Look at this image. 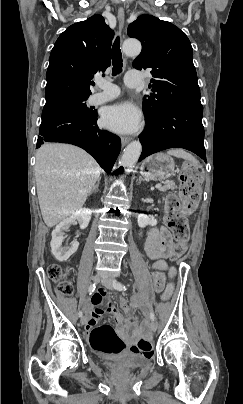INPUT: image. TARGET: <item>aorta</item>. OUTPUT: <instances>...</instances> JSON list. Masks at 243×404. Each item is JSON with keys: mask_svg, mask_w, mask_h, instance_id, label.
Segmentation results:
<instances>
[{"mask_svg": "<svg viewBox=\"0 0 243 404\" xmlns=\"http://www.w3.org/2000/svg\"><path fill=\"white\" fill-rule=\"evenodd\" d=\"M122 52H124L126 56H131V58L132 56H138L141 52V44L138 40H125L122 44ZM141 152L142 146L140 142H131V144H128L120 162L118 163V168L122 172L134 168L136 162H138L140 158ZM121 179L123 180L124 178L122 177Z\"/></svg>", "mask_w": 243, "mask_h": 404, "instance_id": "762f6f07", "label": "aorta"}]
</instances>
